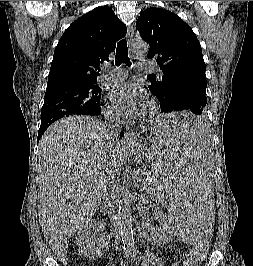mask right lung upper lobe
Listing matches in <instances>:
<instances>
[{"mask_svg":"<svg viewBox=\"0 0 253 266\" xmlns=\"http://www.w3.org/2000/svg\"><path fill=\"white\" fill-rule=\"evenodd\" d=\"M126 26L108 7H98L74 21L60 38L51 64L47 89L97 82L99 65L109 60Z\"/></svg>","mask_w":253,"mask_h":266,"instance_id":"obj_1","label":"right lung upper lobe"}]
</instances>
